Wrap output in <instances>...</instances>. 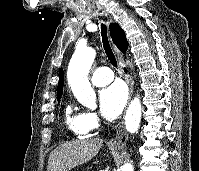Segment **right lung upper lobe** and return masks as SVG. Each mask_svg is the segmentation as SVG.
<instances>
[{
    "instance_id": "1",
    "label": "right lung upper lobe",
    "mask_w": 199,
    "mask_h": 171,
    "mask_svg": "<svg viewBox=\"0 0 199 171\" xmlns=\"http://www.w3.org/2000/svg\"><path fill=\"white\" fill-rule=\"evenodd\" d=\"M110 34L113 39V42L117 45L119 50L122 52H125L128 48V42L125 37V33L122 30V28L115 23L110 24ZM63 81H64V75H63V69L61 68L59 70V83L57 87V99L61 97L63 92Z\"/></svg>"
}]
</instances>
